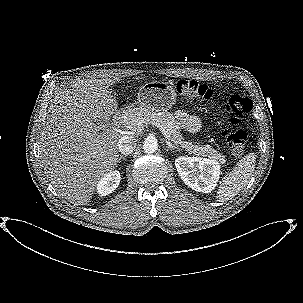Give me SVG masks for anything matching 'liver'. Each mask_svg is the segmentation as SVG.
Here are the masks:
<instances>
[{
  "label": "liver",
  "mask_w": 303,
  "mask_h": 303,
  "mask_svg": "<svg viewBox=\"0 0 303 303\" xmlns=\"http://www.w3.org/2000/svg\"><path fill=\"white\" fill-rule=\"evenodd\" d=\"M115 76L71 82L52 99L40 132L42 166L60 196L75 205L90 202L98 182L117 165L121 134L95 124L117 112L109 87Z\"/></svg>",
  "instance_id": "obj_1"
}]
</instances>
